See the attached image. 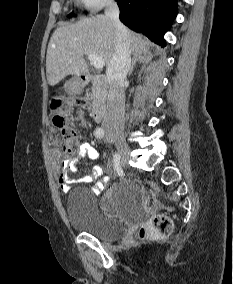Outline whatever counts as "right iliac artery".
Instances as JSON below:
<instances>
[{
    "instance_id": "82829eb1",
    "label": "right iliac artery",
    "mask_w": 233,
    "mask_h": 284,
    "mask_svg": "<svg viewBox=\"0 0 233 284\" xmlns=\"http://www.w3.org/2000/svg\"><path fill=\"white\" fill-rule=\"evenodd\" d=\"M94 134L97 138L101 139L104 137V130L102 128H97ZM115 157H119V155H115ZM115 168H121V167H115Z\"/></svg>"
}]
</instances>
